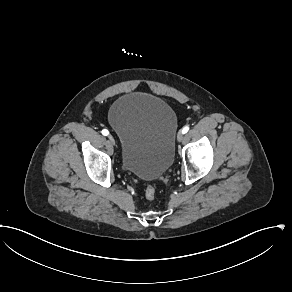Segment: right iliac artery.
<instances>
[{"label":"right iliac artery","mask_w":292,"mask_h":292,"mask_svg":"<svg viewBox=\"0 0 292 292\" xmlns=\"http://www.w3.org/2000/svg\"><path fill=\"white\" fill-rule=\"evenodd\" d=\"M102 134H103L104 136H107V135H109V131H108L107 129H103V130H102Z\"/></svg>","instance_id":"82829eb1"}]
</instances>
